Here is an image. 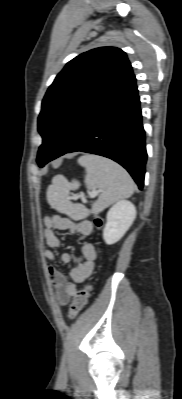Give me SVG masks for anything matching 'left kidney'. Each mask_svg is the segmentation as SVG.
<instances>
[{
    "label": "left kidney",
    "instance_id": "1",
    "mask_svg": "<svg viewBox=\"0 0 182 399\" xmlns=\"http://www.w3.org/2000/svg\"><path fill=\"white\" fill-rule=\"evenodd\" d=\"M136 217V208L130 201L121 200L114 204L107 213V222L103 230L106 244L118 242L128 231Z\"/></svg>",
    "mask_w": 182,
    "mask_h": 399
}]
</instances>
